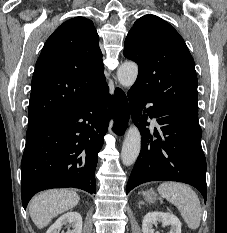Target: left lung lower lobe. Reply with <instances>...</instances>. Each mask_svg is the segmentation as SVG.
I'll return each mask as SVG.
<instances>
[{"instance_id": "1", "label": "left lung lower lobe", "mask_w": 227, "mask_h": 233, "mask_svg": "<svg viewBox=\"0 0 227 233\" xmlns=\"http://www.w3.org/2000/svg\"><path fill=\"white\" fill-rule=\"evenodd\" d=\"M128 99L133 122L142 138L126 194L145 182L178 181L194 186L206 201V159L198 122L134 88L128 91ZM147 103H153V106L146 108ZM147 117L157 118L158 127L152 133L146 128L149 125ZM153 136L157 139L153 140Z\"/></svg>"}]
</instances>
